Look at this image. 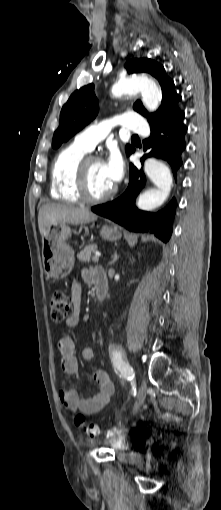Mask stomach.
<instances>
[{
    "instance_id": "stomach-1",
    "label": "stomach",
    "mask_w": 221,
    "mask_h": 510,
    "mask_svg": "<svg viewBox=\"0 0 221 510\" xmlns=\"http://www.w3.org/2000/svg\"><path fill=\"white\" fill-rule=\"evenodd\" d=\"M71 228L63 222L50 225L42 236V258L48 277L54 280L65 278L74 266V250L67 243ZM103 239L116 241L121 232L116 225H104L100 231Z\"/></svg>"
}]
</instances>
